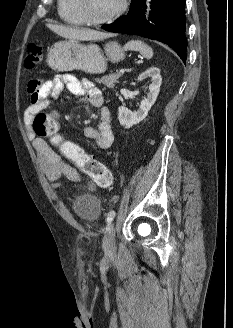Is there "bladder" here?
<instances>
[{"label": "bladder", "mask_w": 233, "mask_h": 328, "mask_svg": "<svg viewBox=\"0 0 233 328\" xmlns=\"http://www.w3.org/2000/svg\"><path fill=\"white\" fill-rule=\"evenodd\" d=\"M74 213L83 221L94 222L100 214V203L98 199L90 194H81L72 201Z\"/></svg>", "instance_id": "1"}]
</instances>
